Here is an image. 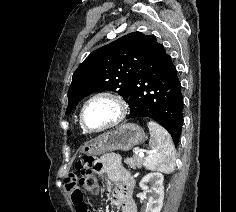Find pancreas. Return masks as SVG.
Wrapping results in <instances>:
<instances>
[{
    "mask_svg": "<svg viewBox=\"0 0 236 212\" xmlns=\"http://www.w3.org/2000/svg\"><path fill=\"white\" fill-rule=\"evenodd\" d=\"M145 158L139 157L137 154L133 158H126L125 163L132 169L141 168L144 165Z\"/></svg>",
    "mask_w": 236,
    "mask_h": 212,
    "instance_id": "obj_1",
    "label": "pancreas"
}]
</instances>
